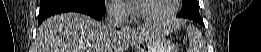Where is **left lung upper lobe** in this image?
<instances>
[{"label": "left lung upper lobe", "mask_w": 261, "mask_h": 52, "mask_svg": "<svg viewBox=\"0 0 261 52\" xmlns=\"http://www.w3.org/2000/svg\"><path fill=\"white\" fill-rule=\"evenodd\" d=\"M182 1V11L178 14V17L189 18L203 24V20L201 19L199 14V3L197 2V0Z\"/></svg>", "instance_id": "1"}]
</instances>
